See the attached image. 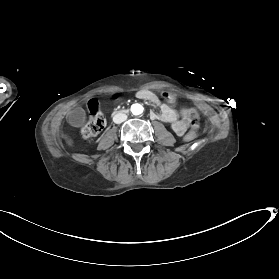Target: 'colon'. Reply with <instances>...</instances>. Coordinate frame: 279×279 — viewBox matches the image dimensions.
<instances>
[{
    "label": "colon",
    "mask_w": 279,
    "mask_h": 279,
    "mask_svg": "<svg viewBox=\"0 0 279 279\" xmlns=\"http://www.w3.org/2000/svg\"><path fill=\"white\" fill-rule=\"evenodd\" d=\"M183 119L188 123L191 131L185 136L186 141H192L196 137V130L199 127L198 113L191 108H183L181 110ZM105 127V118L101 111L92 112L90 119L81 129V136L84 139L94 137L101 133Z\"/></svg>",
    "instance_id": "obj_1"
}]
</instances>
